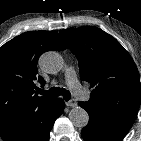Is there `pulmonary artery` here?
<instances>
[{"label":"pulmonary artery","mask_w":141,"mask_h":141,"mask_svg":"<svg viewBox=\"0 0 141 141\" xmlns=\"http://www.w3.org/2000/svg\"><path fill=\"white\" fill-rule=\"evenodd\" d=\"M65 79L67 85L73 91L74 94L80 97L85 96V91L81 87L80 83L77 80L76 74L72 68H68L65 72Z\"/></svg>","instance_id":"pulmonary-artery-1"}]
</instances>
